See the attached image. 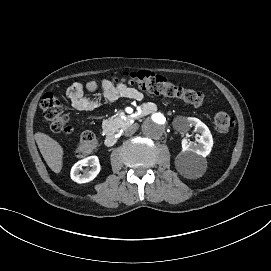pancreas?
Listing matches in <instances>:
<instances>
[{"label":"pancreas","mask_w":271,"mask_h":271,"mask_svg":"<svg viewBox=\"0 0 271 271\" xmlns=\"http://www.w3.org/2000/svg\"><path fill=\"white\" fill-rule=\"evenodd\" d=\"M109 124H113V125H115V128H116V129H119L122 125L125 124V121H124V120H121L120 122H118V123L116 124V122H115L114 119L105 120V121L103 122V128L106 130Z\"/></svg>","instance_id":"cf45deb5"}]
</instances>
